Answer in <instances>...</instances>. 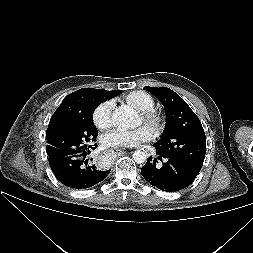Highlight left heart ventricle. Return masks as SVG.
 I'll return each mask as SVG.
<instances>
[{
    "mask_svg": "<svg viewBox=\"0 0 253 253\" xmlns=\"http://www.w3.org/2000/svg\"><path fill=\"white\" fill-rule=\"evenodd\" d=\"M141 122H144L143 117L141 116Z\"/></svg>",
    "mask_w": 253,
    "mask_h": 253,
    "instance_id": "obj_1",
    "label": "left heart ventricle"
}]
</instances>
